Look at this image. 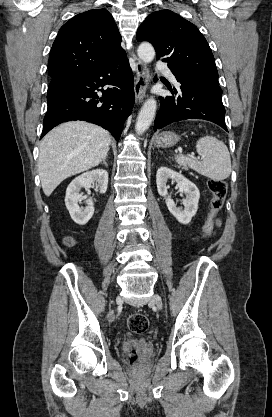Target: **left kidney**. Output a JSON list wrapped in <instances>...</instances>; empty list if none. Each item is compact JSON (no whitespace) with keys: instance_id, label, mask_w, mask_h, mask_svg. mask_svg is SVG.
<instances>
[{"instance_id":"1","label":"left kidney","mask_w":272,"mask_h":417,"mask_svg":"<svg viewBox=\"0 0 272 417\" xmlns=\"http://www.w3.org/2000/svg\"><path fill=\"white\" fill-rule=\"evenodd\" d=\"M169 179L177 183V188H179L180 193L185 194L186 198L183 200L184 209L178 208L171 196L168 194L169 186L167 185V182ZM156 183L158 193L160 196L165 198L169 212L181 224H188L198 209L200 192L197 186L185 178L181 173H178L168 167H161L158 169L156 174Z\"/></svg>"}]
</instances>
